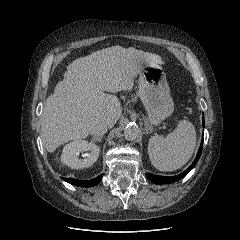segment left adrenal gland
I'll return each instance as SVG.
<instances>
[{
	"instance_id": "left-adrenal-gland-1",
	"label": "left adrenal gland",
	"mask_w": 240,
	"mask_h": 240,
	"mask_svg": "<svg viewBox=\"0 0 240 240\" xmlns=\"http://www.w3.org/2000/svg\"><path fill=\"white\" fill-rule=\"evenodd\" d=\"M144 122H145V130H146V133L148 134L149 131H151V127H150V125L146 122L145 119H144Z\"/></svg>"
}]
</instances>
